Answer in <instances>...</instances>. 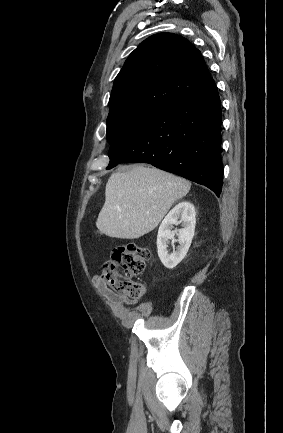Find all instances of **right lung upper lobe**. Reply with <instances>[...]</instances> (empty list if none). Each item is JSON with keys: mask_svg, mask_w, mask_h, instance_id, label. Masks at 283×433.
Wrapping results in <instances>:
<instances>
[{"mask_svg": "<svg viewBox=\"0 0 283 433\" xmlns=\"http://www.w3.org/2000/svg\"><path fill=\"white\" fill-rule=\"evenodd\" d=\"M214 83L201 53L187 39L159 33L144 40L117 75L110 110L127 105L165 109Z\"/></svg>", "mask_w": 283, "mask_h": 433, "instance_id": "obj_1", "label": "right lung upper lobe"}]
</instances>
